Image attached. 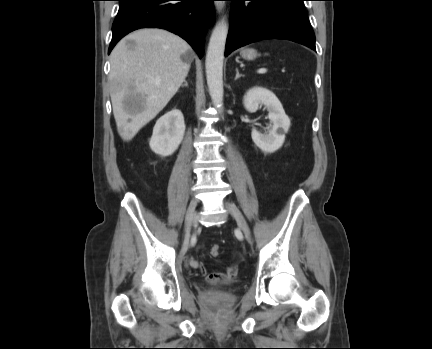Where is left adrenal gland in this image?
<instances>
[{
	"label": "left adrenal gland",
	"mask_w": 432,
	"mask_h": 349,
	"mask_svg": "<svg viewBox=\"0 0 432 349\" xmlns=\"http://www.w3.org/2000/svg\"><path fill=\"white\" fill-rule=\"evenodd\" d=\"M244 75L239 73L238 68H236V76H235V80L239 79L240 77H243Z\"/></svg>",
	"instance_id": "left-adrenal-gland-1"
}]
</instances>
